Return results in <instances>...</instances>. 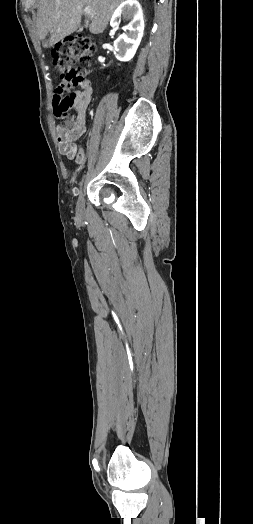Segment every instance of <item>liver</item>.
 Listing matches in <instances>:
<instances>
[{
  "label": "liver",
  "mask_w": 253,
  "mask_h": 524,
  "mask_svg": "<svg viewBox=\"0 0 253 524\" xmlns=\"http://www.w3.org/2000/svg\"><path fill=\"white\" fill-rule=\"evenodd\" d=\"M124 0H39L36 27L43 47L55 43L75 32L80 25L84 7H91L85 27L92 34L102 33L115 11ZM49 37L48 39H46Z\"/></svg>",
  "instance_id": "1"
}]
</instances>
